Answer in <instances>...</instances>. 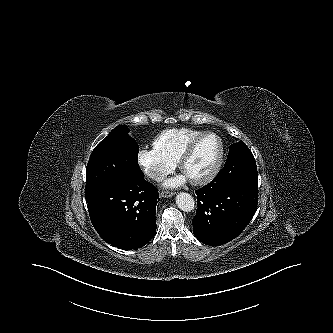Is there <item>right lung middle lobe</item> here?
Here are the masks:
<instances>
[{"mask_svg":"<svg viewBox=\"0 0 333 333\" xmlns=\"http://www.w3.org/2000/svg\"><path fill=\"white\" fill-rule=\"evenodd\" d=\"M126 125L115 127L93 150L86 168L85 195L142 177L139 146Z\"/></svg>","mask_w":333,"mask_h":333,"instance_id":"dd1d6c3e","label":"right lung middle lobe"}]
</instances>
